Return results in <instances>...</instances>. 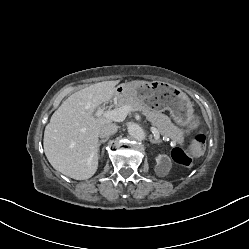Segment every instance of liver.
<instances>
[{
    "instance_id": "1",
    "label": "liver",
    "mask_w": 249,
    "mask_h": 249,
    "mask_svg": "<svg viewBox=\"0 0 249 249\" xmlns=\"http://www.w3.org/2000/svg\"><path fill=\"white\" fill-rule=\"evenodd\" d=\"M138 82H145L139 81ZM116 81H104L70 95L53 113L44 131V152L54 169L76 180L92 177L98 168V132L112 120L96 109L116 93Z\"/></svg>"
}]
</instances>
